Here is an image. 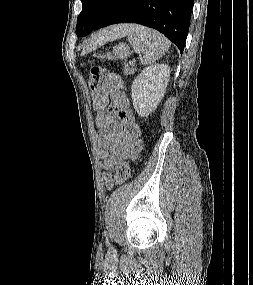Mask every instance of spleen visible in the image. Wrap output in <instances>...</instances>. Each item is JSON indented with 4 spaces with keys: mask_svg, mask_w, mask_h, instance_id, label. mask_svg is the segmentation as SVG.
<instances>
[{
    "mask_svg": "<svg viewBox=\"0 0 253 285\" xmlns=\"http://www.w3.org/2000/svg\"><path fill=\"white\" fill-rule=\"evenodd\" d=\"M129 43L138 54H144L142 64L154 63L161 58L170 47V41L156 30L135 25L127 34Z\"/></svg>",
    "mask_w": 253,
    "mask_h": 285,
    "instance_id": "3e777b00",
    "label": "spleen"
}]
</instances>
